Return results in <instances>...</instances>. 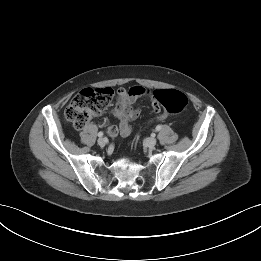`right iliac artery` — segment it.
Here are the masks:
<instances>
[{
  "label": "right iliac artery",
  "instance_id": "82829eb1",
  "mask_svg": "<svg viewBox=\"0 0 261 261\" xmlns=\"http://www.w3.org/2000/svg\"><path fill=\"white\" fill-rule=\"evenodd\" d=\"M103 135H104V133L101 131L98 133V137H102Z\"/></svg>",
  "mask_w": 261,
  "mask_h": 261
}]
</instances>
